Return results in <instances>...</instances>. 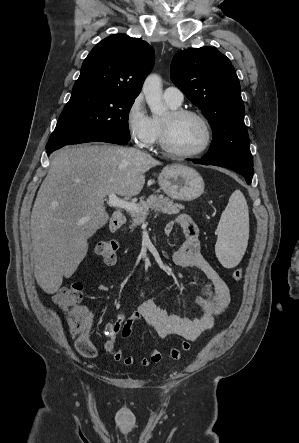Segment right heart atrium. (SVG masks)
Returning a JSON list of instances; mask_svg holds the SVG:
<instances>
[{"instance_id":"obj_1","label":"right heart atrium","mask_w":299,"mask_h":443,"mask_svg":"<svg viewBox=\"0 0 299 443\" xmlns=\"http://www.w3.org/2000/svg\"><path fill=\"white\" fill-rule=\"evenodd\" d=\"M125 125L130 139L137 147H150L155 137V129L142 94L135 96L126 108Z\"/></svg>"}]
</instances>
